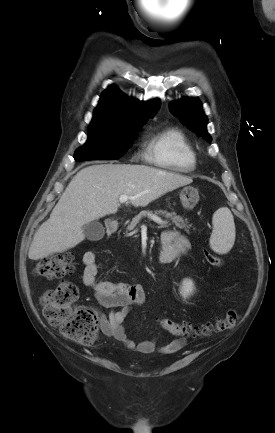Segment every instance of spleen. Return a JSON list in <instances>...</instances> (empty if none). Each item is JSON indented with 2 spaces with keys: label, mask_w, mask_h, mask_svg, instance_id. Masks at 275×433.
<instances>
[{
  "label": "spleen",
  "mask_w": 275,
  "mask_h": 433,
  "mask_svg": "<svg viewBox=\"0 0 275 433\" xmlns=\"http://www.w3.org/2000/svg\"><path fill=\"white\" fill-rule=\"evenodd\" d=\"M213 231L209 244L218 254L228 253L235 242V224L231 211L227 207L218 209L212 217Z\"/></svg>",
  "instance_id": "3e777b00"
}]
</instances>
